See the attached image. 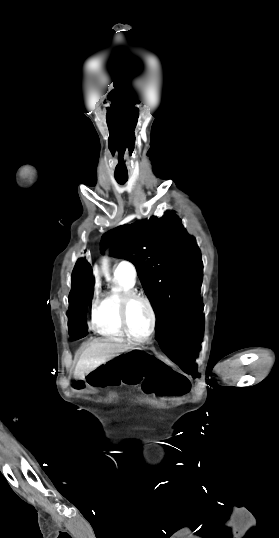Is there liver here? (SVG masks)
I'll use <instances>...</instances> for the list:
<instances>
[{
  "mask_svg": "<svg viewBox=\"0 0 279 538\" xmlns=\"http://www.w3.org/2000/svg\"><path fill=\"white\" fill-rule=\"evenodd\" d=\"M130 346L122 344V342H114V340H99L94 342L89 348L81 354L74 370V376L77 380H84L85 374L93 372L101 364H105L119 352H127Z\"/></svg>",
  "mask_w": 279,
  "mask_h": 538,
  "instance_id": "obj_1",
  "label": "liver"
}]
</instances>
